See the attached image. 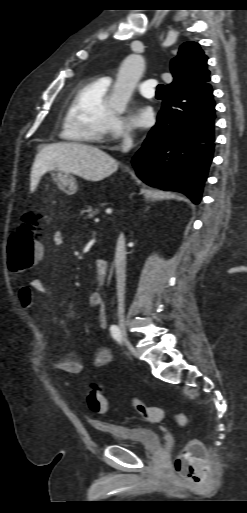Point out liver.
Instances as JSON below:
<instances>
[{
    "instance_id": "6515ba94",
    "label": "liver",
    "mask_w": 247,
    "mask_h": 513,
    "mask_svg": "<svg viewBox=\"0 0 247 513\" xmlns=\"http://www.w3.org/2000/svg\"><path fill=\"white\" fill-rule=\"evenodd\" d=\"M118 162L98 148L79 143H56L44 146L36 155L30 189L34 191L40 177L48 170H61L85 180L97 182L113 174Z\"/></svg>"
}]
</instances>
